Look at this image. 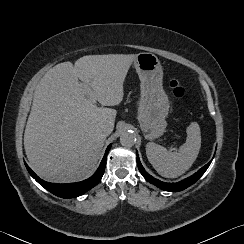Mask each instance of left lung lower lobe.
Instances as JSON below:
<instances>
[{"instance_id":"0a47b994","label":"left lung lower lobe","mask_w":244,"mask_h":244,"mask_svg":"<svg viewBox=\"0 0 244 244\" xmlns=\"http://www.w3.org/2000/svg\"><path fill=\"white\" fill-rule=\"evenodd\" d=\"M210 163L211 162L206 164L204 167H202L200 170H198V172H196L194 175H192L178 183H164V182H161V181L153 178L145 171V169L141 165V162H140V159H139V156L137 153V165H138L139 171L143 175V177L147 181H149L151 184H154L157 187H159L160 189H163L165 191H170V192H178V191H181V190L189 187L190 185L194 184L205 173V171L209 167Z\"/></svg>"}]
</instances>
